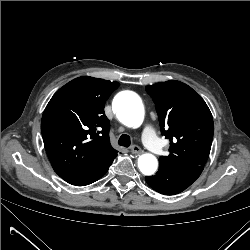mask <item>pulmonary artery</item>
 <instances>
[{"label": "pulmonary artery", "mask_w": 250, "mask_h": 250, "mask_svg": "<svg viewBox=\"0 0 250 250\" xmlns=\"http://www.w3.org/2000/svg\"><path fill=\"white\" fill-rule=\"evenodd\" d=\"M142 138L150 152L155 155H160L162 153V145L151 128L146 127L143 130Z\"/></svg>", "instance_id": "obj_1"}]
</instances>
